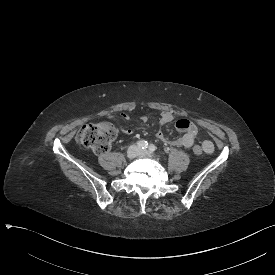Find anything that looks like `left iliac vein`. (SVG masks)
<instances>
[{"instance_id": "obj_1", "label": "left iliac vein", "mask_w": 275, "mask_h": 275, "mask_svg": "<svg viewBox=\"0 0 275 275\" xmlns=\"http://www.w3.org/2000/svg\"><path fill=\"white\" fill-rule=\"evenodd\" d=\"M140 155L143 157V156H148L149 155V152L147 150H141L140 151Z\"/></svg>"}]
</instances>
